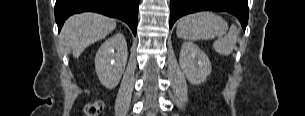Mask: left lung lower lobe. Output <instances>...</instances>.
<instances>
[{"label":"left lung lower lobe","instance_id":"1","mask_svg":"<svg viewBox=\"0 0 305 116\" xmlns=\"http://www.w3.org/2000/svg\"><path fill=\"white\" fill-rule=\"evenodd\" d=\"M202 10L226 11L235 15L245 30L248 22V0H171L170 28L183 15Z\"/></svg>","mask_w":305,"mask_h":116}]
</instances>
